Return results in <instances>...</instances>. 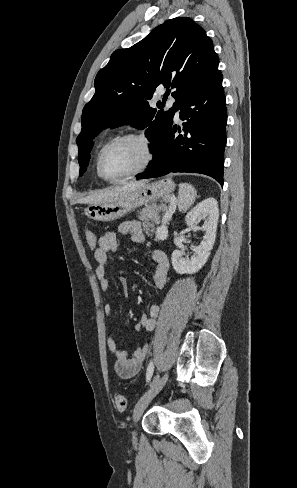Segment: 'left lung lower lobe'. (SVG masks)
Returning a JSON list of instances; mask_svg holds the SVG:
<instances>
[{"instance_id": "1", "label": "left lung lower lobe", "mask_w": 297, "mask_h": 488, "mask_svg": "<svg viewBox=\"0 0 297 488\" xmlns=\"http://www.w3.org/2000/svg\"><path fill=\"white\" fill-rule=\"evenodd\" d=\"M226 98L222 74L216 76L180 107L178 127L171 126L156 157L136 177L155 178L170 172L201 173L223 186L224 149L226 145Z\"/></svg>"}]
</instances>
